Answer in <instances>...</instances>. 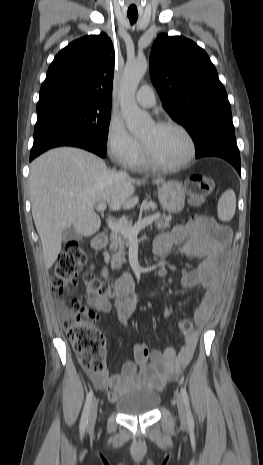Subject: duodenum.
<instances>
[{
	"instance_id": "1",
	"label": "duodenum",
	"mask_w": 263,
	"mask_h": 465,
	"mask_svg": "<svg viewBox=\"0 0 263 465\" xmlns=\"http://www.w3.org/2000/svg\"><path fill=\"white\" fill-rule=\"evenodd\" d=\"M108 242V236L106 234H98L92 240V248L95 250H102L105 248Z\"/></svg>"
}]
</instances>
